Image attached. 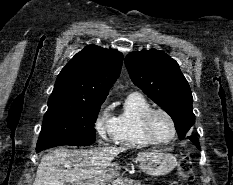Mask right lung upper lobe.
<instances>
[{
    "mask_svg": "<svg viewBox=\"0 0 233 185\" xmlns=\"http://www.w3.org/2000/svg\"><path fill=\"white\" fill-rule=\"evenodd\" d=\"M122 61L123 55L115 49L86 46L62 69L51 96L105 100L120 74Z\"/></svg>",
    "mask_w": 233,
    "mask_h": 185,
    "instance_id": "1",
    "label": "right lung upper lobe"
}]
</instances>
